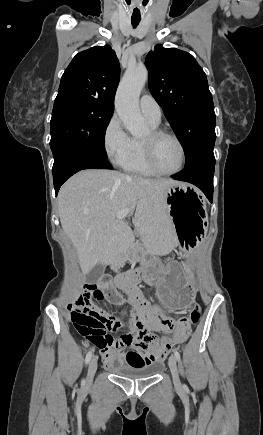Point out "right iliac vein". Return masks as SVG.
I'll return each instance as SVG.
<instances>
[{
    "mask_svg": "<svg viewBox=\"0 0 263 435\" xmlns=\"http://www.w3.org/2000/svg\"><path fill=\"white\" fill-rule=\"evenodd\" d=\"M96 370H97V358L94 357L89 363L88 373L86 378L87 384H90L92 382Z\"/></svg>",
    "mask_w": 263,
    "mask_h": 435,
    "instance_id": "63e3f726",
    "label": "right iliac vein"
}]
</instances>
